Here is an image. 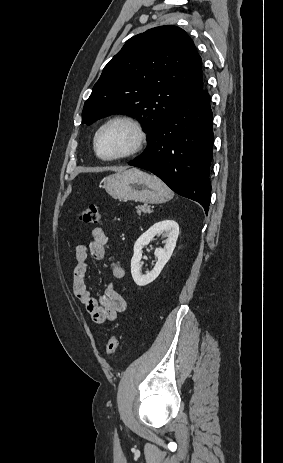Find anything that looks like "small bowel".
Masks as SVG:
<instances>
[{
    "mask_svg": "<svg viewBox=\"0 0 283 463\" xmlns=\"http://www.w3.org/2000/svg\"><path fill=\"white\" fill-rule=\"evenodd\" d=\"M108 239L102 228H95L92 231V241L88 245H78L75 249L72 292L96 323L114 320L127 307L125 299L113 284H108L104 294L98 299L90 293L86 286L85 279L89 268L88 257L91 256L97 260L102 259L105 256ZM110 267L114 278L123 279L126 276L125 268L118 262L111 261Z\"/></svg>",
    "mask_w": 283,
    "mask_h": 463,
    "instance_id": "obj_1",
    "label": "small bowel"
}]
</instances>
